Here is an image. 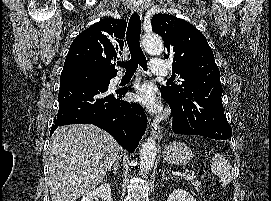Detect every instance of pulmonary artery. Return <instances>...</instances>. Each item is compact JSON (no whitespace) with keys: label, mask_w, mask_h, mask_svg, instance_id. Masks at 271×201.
Listing matches in <instances>:
<instances>
[{"label":"pulmonary artery","mask_w":271,"mask_h":201,"mask_svg":"<svg viewBox=\"0 0 271 201\" xmlns=\"http://www.w3.org/2000/svg\"><path fill=\"white\" fill-rule=\"evenodd\" d=\"M150 71L154 75L165 76L167 75L166 62L161 58H152L150 63ZM120 76L116 77L119 80Z\"/></svg>","instance_id":"e3ab8cb5"}]
</instances>
